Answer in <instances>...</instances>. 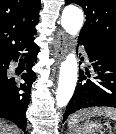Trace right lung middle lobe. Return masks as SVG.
Masks as SVG:
<instances>
[{"label":"right lung middle lobe","instance_id":"1","mask_svg":"<svg viewBox=\"0 0 116 134\" xmlns=\"http://www.w3.org/2000/svg\"><path fill=\"white\" fill-rule=\"evenodd\" d=\"M7 63L0 62V83H3L8 80L7 77Z\"/></svg>","mask_w":116,"mask_h":134}]
</instances>
